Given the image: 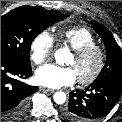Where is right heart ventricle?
<instances>
[{
	"mask_svg": "<svg viewBox=\"0 0 122 122\" xmlns=\"http://www.w3.org/2000/svg\"><path fill=\"white\" fill-rule=\"evenodd\" d=\"M58 39L73 50L96 44V37L85 27H74L58 32Z\"/></svg>",
	"mask_w": 122,
	"mask_h": 122,
	"instance_id": "right-heart-ventricle-1",
	"label": "right heart ventricle"
}]
</instances>
